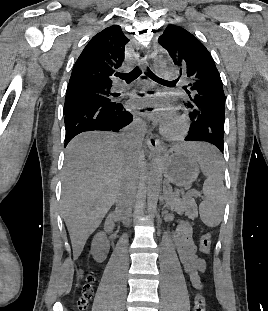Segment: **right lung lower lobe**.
Masks as SVG:
<instances>
[{
  "label": "right lung lower lobe",
  "mask_w": 268,
  "mask_h": 311,
  "mask_svg": "<svg viewBox=\"0 0 268 311\" xmlns=\"http://www.w3.org/2000/svg\"><path fill=\"white\" fill-rule=\"evenodd\" d=\"M65 114V146L77 134L85 131H118L133 120L121 103L109 107L93 104H70Z\"/></svg>",
  "instance_id": "98d812e1"
}]
</instances>
